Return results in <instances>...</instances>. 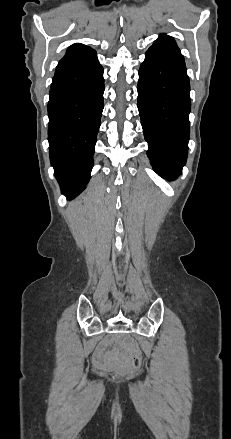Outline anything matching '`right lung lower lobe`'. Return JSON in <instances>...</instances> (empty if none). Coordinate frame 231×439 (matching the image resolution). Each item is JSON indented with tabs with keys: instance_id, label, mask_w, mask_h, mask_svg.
<instances>
[{
	"instance_id": "98d812e1",
	"label": "right lung lower lobe",
	"mask_w": 231,
	"mask_h": 439,
	"mask_svg": "<svg viewBox=\"0 0 231 439\" xmlns=\"http://www.w3.org/2000/svg\"><path fill=\"white\" fill-rule=\"evenodd\" d=\"M103 92V67L97 56L53 77L48 102L50 161L68 199L81 193L90 179Z\"/></svg>"
}]
</instances>
